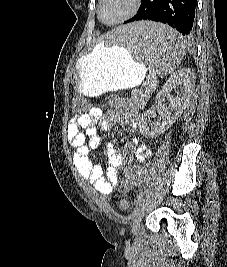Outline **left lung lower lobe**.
Segmentation results:
<instances>
[{
	"label": "left lung lower lobe",
	"instance_id": "obj_1",
	"mask_svg": "<svg viewBox=\"0 0 227 267\" xmlns=\"http://www.w3.org/2000/svg\"><path fill=\"white\" fill-rule=\"evenodd\" d=\"M197 0H142L137 14L124 22L152 20L168 24L182 35L191 37L195 33V9ZM155 39L149 41L154 43Z\"/></svg>",
	"mask_w": 227,
	"mask_h": 267
}]
</instances>
